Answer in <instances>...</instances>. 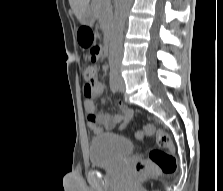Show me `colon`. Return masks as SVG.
<instances>
[{
	"mask_svg": "<svg viewBox=\"0 0 223 191\" xmlns=\"http://www.w3.org/2000/svg\"><path fill=\"white\" fill-rule=\"evenodd\" d=\"M81 46L87 50L90 59H95L99 55V47L95 40L94 32L90 27H83L78 34ZM84 79L87 84H92L96 77V67L87 64L83 69ZM154 136L157 147L148 153L146 160H139L135 163L134 171L137 174H152L159 171L162 174H173L177 169V161L174 152V145L170 136L162 130H156L152 124H146L140 132L138 138L143 136Z\"/></svg>",
	"mask_w": 223,
	"mask_h": 191,
	"instance_id": "colon-1",
	"label": "colon"
}]
</instances>
